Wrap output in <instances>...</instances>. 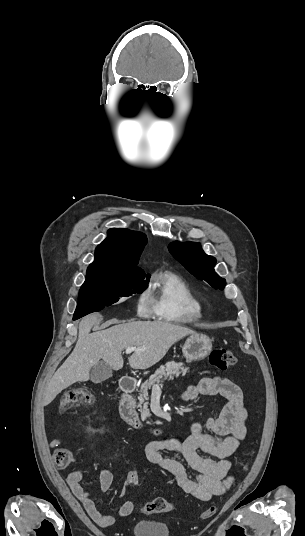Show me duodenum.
Returning a JSON list of instances; mask_svg holds the SVG:
<instances>
[{
  "label": "duodenum",
  "mask_w": 305,
  "mask_h": 536,
  "mask_svg": "<svg viewBox=\"0 0 305 536\" xmlns=\"http://www.w3.org/2000/svg\"><path fill=\"white\" fill-rule=\"evenodd\" d=\"M136 388L137 381L134 378L129 376H123L121 378L120 389L122 391V399L120 402V415L122 419L136 430H146L153 434L159 433V428L147 427L140 419L136 410L135 400L133 398V393Z\"/></svg>",
  "instance_id": "duodenum-1"
}]
</instances>
